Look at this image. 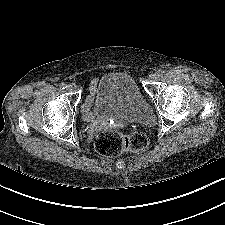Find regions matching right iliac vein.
<instances>
[{"label":"right iliac vein","instance_id":"obj_1","mask_svg":"<svg viewBox=\"0 0 225 225\" xmlns=\"http://www.w3.org/2000/svg\"><path fill=\"white\" fill-rule=\"evenodd\" d=\"M74 87L75 86L73 84H69V85H67L66 88H67L68 91H73L74 90Z\"/></svg>","mask_w":225,"mask_h":225}]
</instances>
